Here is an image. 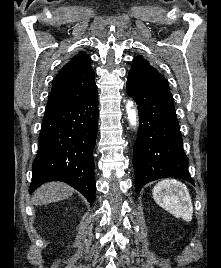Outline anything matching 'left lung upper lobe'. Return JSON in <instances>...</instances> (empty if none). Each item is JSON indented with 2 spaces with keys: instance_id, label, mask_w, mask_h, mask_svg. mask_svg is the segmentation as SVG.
I'll return each mask as SVG.
<instances>
[{
  "instance_id": "obj_1",
  "label": "left lung upper lobe",
  "mask_w": 221,
  "mask_h": 268,
  "mask_svg": "<svg viewBox=\"0 0 221 268\" xmlns=\"http://www.w3.org/2000/svg\"><path fill=\"white\" fill-rule=\"evenodd\" d=\"M128 78L149 87L165 90L170 89L166 79L141 56H137L133 59Z\"/></svg>"
}]
</instances>
